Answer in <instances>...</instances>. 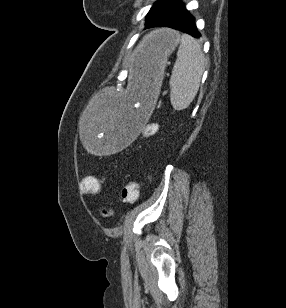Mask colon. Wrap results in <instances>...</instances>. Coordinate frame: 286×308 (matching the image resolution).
<instances>
[{
	"label": "colon",
	"instance_id": "1",
	"mask_svg": "<svg viewBox=\"0 0 286 308\" xmlns=\"http://www.w3.org/2000/svg\"><path fill=\"white\" fill-rule=\"evenodd\" d=\"M156 129L155 124H150L144 131L145 135H150ZM102 181L94 177H85L80 182V189L85 193H96L102 188ZM139 197V183L135 180L126 183L122 189V198L127 203H134ZM112 211L104 210V215L111 214Z\"/></svg>",
	"mask_w": 286,
	"mask_h": 308
}]
</instances>
